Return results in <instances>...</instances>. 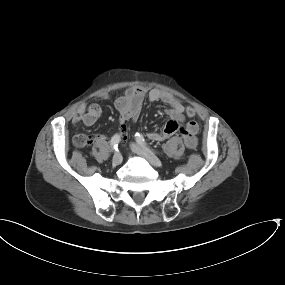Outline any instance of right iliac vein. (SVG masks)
<instances>
[{"mask_svg":"<svg viewBox=\"0 0 285 285\" xmlns=\"http://www.w3.org/2000/svg\"><path fill=\"white\" fill-rule=\"evenodd\" d=\"M123 157L120 152H116L113 156L112 162L114 165H119L122 163Z\"/></svg>","mask_w":285,"mask_h":285,"instance_id":"right-iliac-vein-1","label":"right iliac vein"}]
</instances>
